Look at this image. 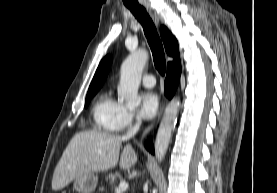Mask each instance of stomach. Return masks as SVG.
<instances>
[{
    "label": "stomach",
    "instance_id": "stomach-1",
    "mask_svg": "<svg viewBox=\"0 0 277 193\" xmlns=\"http://www.w3.org/2000/svg\"><path fill=\"white\" fill-rule=\"evenodd\" d=\"M98 178L93 173H86L74 179L73 187L78 193H92L97 186Z\"/></svg>",
    "mask_w": 277,
    "mask_h": 193
}]
</instances>
